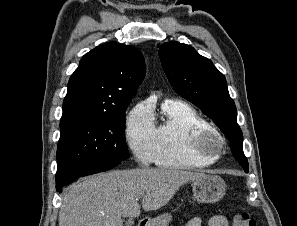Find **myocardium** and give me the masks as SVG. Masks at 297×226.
I'll return each mask as SVG.
<instances>
[{"label":"myocardium","instance_id":"1","mask_svg":"<svg viewBox=\"0 0 297 226\" xmlns=\"http://www.w3.org/2000/svg\"><path fill=\"white\" fill-rule=\"evenodd\" d=\"M224 144L222 134L212 126L197 130L190 141L192 152L198 157L209 160L217 159Z\"/></svg>","mask_w":297,"mask_h":226}]
</instances>
